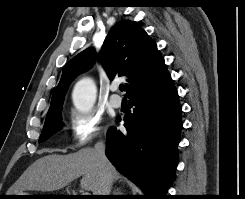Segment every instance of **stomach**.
Here are the masks:
<instances>
[{
  "mask_svg": "<svg viewBox=\"0 0 245 199\" xmlns=\"http://www.w3.org/2000/svg\"><path fill=\"white\" fill-rule=\"evenodd\" d=\"M13 195H33V194H29V193H26V192H23L21 194H13ZM18 197H26V196H18ZM22 199V198H21ZM24 199V198H23Z\"/></svg>",
  "mask_w": 245,
  "mask_h": 199,
  "instance_id": "obj_1",
  "label": "stomach"
}]
</instances>
